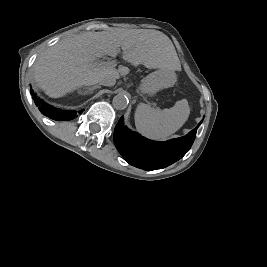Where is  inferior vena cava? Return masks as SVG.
I'll return each mask as SVG.
<instances>
[{
    "instance_id": "602c4592",
    "label": "inferior vena cava",
    "mask_w": 267,
    "mask_h": 267,
    "mask_svg": "<svg viewBox=\"0 0 267 267\" xmlns=\"http://www.w3.org/2000/svg\"><path fill=\"white\" fill-rule=\"evenodd\" d=\"M98 83L101 84V85H104V86H113L116 83V79L113 78V77L105 76V77H102L98 81Z\"/></svg>"
}]
</instances>
